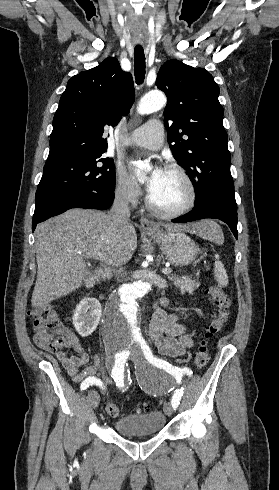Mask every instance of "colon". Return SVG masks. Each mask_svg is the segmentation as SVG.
<instances>
[{"mask_svg":"<svg viewBox=\"0 0 279 490\" xmlns=\"http://www.w3.org/2000/svg\"><path fill=\"white\" fill-rule=\"evenodd\" d=\"M209 295L215 301L218 311L199 341L194 358L195 365L198 368H203L207 365L209 360V340L227 324L232 307L229 296L220 286H212L209 289ZM30 316L35 322V334L39 341L38 347L40 349L55 352L70 349V341H75L72 338L73 331L72 329H66L61 326L53 309L48 306L36 307L30 311ZM104 409L112 417H117L120 414L119 407L112 401H108Z\"/></svg>","mask_w":279,"mask_h":490,"instance_id":"1","label":"colon"}]
</instances>
